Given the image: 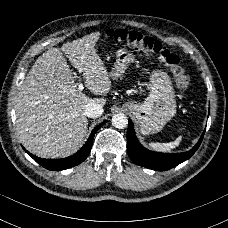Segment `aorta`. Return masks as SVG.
<instances>
[{"label": "aorta", "mask_w": 228, "mask_h": 228, "mask_svg": "<svg viewBox=\"0 0 228 228\" xmlns=\"http://www.w3.org/2000/svg\"><path fill=\"white\" fill-rule=\"evenodd\" d=\"M112 125L118 129H124L128 126V118L124 113H118L112 117Z\"/></svg>", "instance_id": "1"}]
</instances>
